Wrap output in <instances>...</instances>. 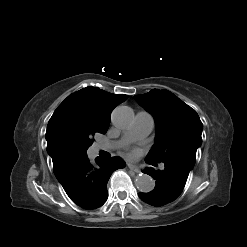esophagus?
Listing matches in <instances>:
<instances>
[{
  "mask_svg": "<svg viewBox=\"0 0 247 247\" xmlns=\"http://www.w3.org/2000/svg\"><path fill=\"white\" fill-rule=\"evenodd\" d=\"M127 166H128V168H129L130 170H132V171H134V172H136V173L140 172L139 169H138V167L135 166V165H133V164H131V163H128Z\"/></svg>",
  "mask_w": 247,
  "mask_h": 247,
  "instance_id": "esophagus-1",
  "label": "esophagus"
}]
</instances>
